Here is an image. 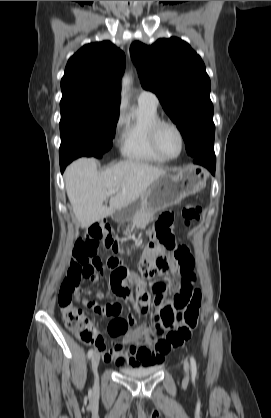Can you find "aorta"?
I'll list each match as a JSON object with an SVG mask.
<instances>
[{
    "mask_svg": "<svg viewBox=\"0 0 271 418\" xmlns=\"http://www.w3.org/2000/svg\"><path fill=\"white\" fill-rule=\"evenodd\" d=\"M131 82V78L129 76H125L122 80L123 87H127Z\"/></svg>",
    "mask_w": 271,
    "mask_h": 418,
    "instance_id": "762f6f07",
    "label": "aorta"
}]
</instances>
